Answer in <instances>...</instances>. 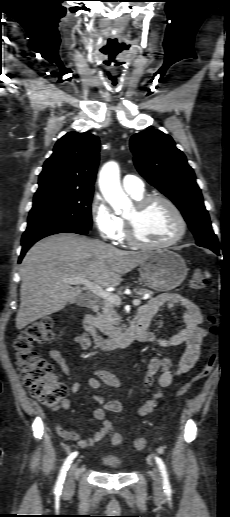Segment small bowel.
<instances>
[{"instance_id": "obj_1", "label": "small bowel", "mask_w": 230, "mask_h": 517, "mask_svg": "<svg viewBox=\"0 0 230 517\" xmlns=\"http://www.w3.org/2000/svg\"><path fill=\"white\" fill-rule=\"evenodd\" d=\"M164 305L171 310H176L177 308L182 309L183 328L169 338L158 337L151 332H146L142 341L162 348L174 347L185 343L186 351L181 357L175 371H172L171 361L168 357L156 356L149 360L145 357H141L142 367L146 369L144 385L147 392L145 401L138 409V414L141 416L152 413L157 407L159 400L163 397L164 390L173 383L174 379L186 374L193 368L200 357L202 341L208 335L207 329L203 327V315L200 308L192 300L180 293L159 294L141 306L140 309L155 314L158 309ZM75 342L82 349H89L92 345L91 339L87 334L76 336ZM49 356L58 364L62 373L70 379V368L62 356L60 347L51 349ZM88 384L95 391L93 394L94 401L100 405L99 408L93 411V417L102 422V427L99 428L92 437L82 439L79 433L63 428L59 422L56 424V431L61 438L67 441H74L81 448L91 447L106 435H111L113 432L112 429L109 428L110 422L106 420V413L120 412L126 406L117 400H107L99 393L102 384L114 388L122 387V382L112 372L105 369H96L94 375L89 378ZM154 386L155 390H153ZM79 390L80 383L72 381L69 385L70 393H77ZM70 406V401L64 399L59 406L53 409V414L57 416L60 410H68ZM114 434L120 437V441L113 444H121L122 436L118 433Z\"/></svg>"}]
</instances>
